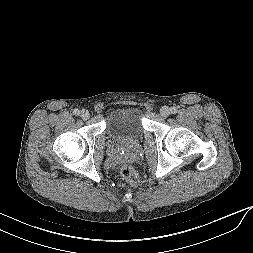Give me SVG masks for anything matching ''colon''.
Listing matches in <instances>:
<instances>
[{
  "label": "colon",
  "instance_id": "1",
  "mask_svg": "<svg viewBox=\"0 0 253 253\" xmlns=\"http://www.w3.org/2000/svg\"><path fill=\"white\" fill-rule=\"evenodd\" d=\"M121 177L123 181L128 185H136L137 183V173L135 169L130 165H124L120 170Z\"/></svg>",
  "mask_w": 253,
  "mask_h": 253
}]
</instances>
